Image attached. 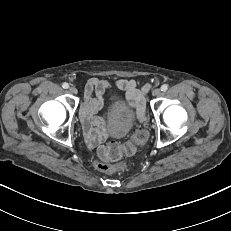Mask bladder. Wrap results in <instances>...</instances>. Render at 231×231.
<instances>
[{
    "mask_svg": "<svg viewBox=\"0 0 231 231\" xmlns=\"http://www.w3.org/2000/svg\"><path fill=\"white\" fill-rule=\"evenodd\" d=\"M133 124V112L125 104L117 103L112 111V135L117 138L127 135Z\"/></svg>",
    "mask_w": 231,
    "mask_h": 231,
    "instance_id": "bladder-1",
    "label": "bladder"
}]
</instances>
